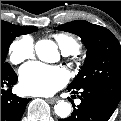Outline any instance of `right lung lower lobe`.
<instances>
[{"label":"right lung lower lobe","instance_id":"obj_1","mask_svg":"<svg viewBox=\"0 0 121 121\" xmlns=\"http://www.w3.org/2000/svg\"><path fill=\"white\" fill-rule=\"evenodd\" d=\"M18 77L13 69L1 70V87L8 86L7 91L1 90V121H19L27 103L31 99L17 97L11 87Z\"/></svg>","mask_w":121,"mask_h":121}]
</instances>
